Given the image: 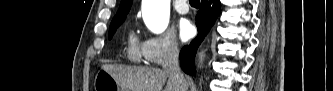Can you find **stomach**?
<instances>
[{
  "instance_id": "0dacf381",
  "label": "stomach",
  "mask_w": 333,
  "mask_h": 91,
  "mask_svg": "<svg viewBox=\"0 0 333 91\" xmlns=\"http://www.w3.org/2000/svg\"><path fill=\"white\" fill-rule=\"evenodd\" d=\"M95 91H127L106 70H99L94 80Z\"/></svg>"
}]
</instances>
